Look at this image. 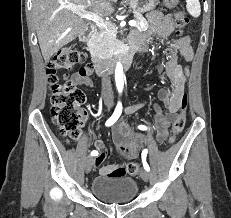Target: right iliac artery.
<instances>
[{"mask_svg":"<svg viewBox=\"0 0 231 218\" xmlns=\"http://www.w3.org/2000/svg\"><path fill=\"white\" fill-rule=\"evenodd\" d=\"M122 113V104L119 102L113 115L106 121V126H111L112 124H114L117 119L120 117ZM98 154V152L96 150H93L91 152L92 156H96Z\"/></svg>","mask_w":231,"mask_h":218,"instance_id":"obj_1","label":"right iliac artery"}]
</instances>
